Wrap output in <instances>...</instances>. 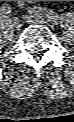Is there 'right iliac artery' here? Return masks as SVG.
<instances>
[{
  "label": "right iliac artery",
  "mask_w": 74,
  "mask_h": 122,
  "mask_svg": "<svg viewBox=\"0 0 74 122\" xmlns=\"http://www.w3.org/2000/svg\"><path fill=\"white\" fill-rule=\"evenodd\" d=\"M1 11L4 13H10L11 12V7L8 4H3L1 7Z\"/></svg>",
  "instance_id": "82829eb1"
}]
</instances>
